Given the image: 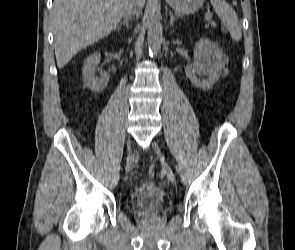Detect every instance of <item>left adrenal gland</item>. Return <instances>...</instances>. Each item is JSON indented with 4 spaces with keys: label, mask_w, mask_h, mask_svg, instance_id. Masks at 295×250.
<instances>
[{
    "label": "left adrenal gland",
    "mask_w": 295,
    "mask_h": 250,
    "mask_svg": "<svg viewBox=\"0 0 295 250\" xmlns=\"http://www.w3.org/2000/svg\"><path fill=\"white\" fill-rule=\"evenodd\" d=\"M169 14H170V25L172 26L176 18H175V16L172 14V12H170Z\"/></svg>",
    "instance_id": "obj_1"
}]
</instances>
